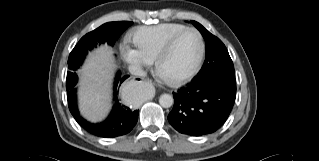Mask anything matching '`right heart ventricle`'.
Here are the masks:
<instances>
[{
    "mask_svg": "<svg viewBox=\"0 0 319 161\" xmlns=\"http://www.w3.org/2000/svg\"><path fill=\"white\" fill-rule=\"evenodd\" d=\"M186 28H188L186 25L179 23L140 27L133 32L132 42L145 59L152 61L171 36Z\"/></svg>",
    "mask_w": 319,
    "mask_h": 161,
    "instance_id": "right-heart-ventricle-1",
    "label": "right heart ventricle"
}]
</instances>
